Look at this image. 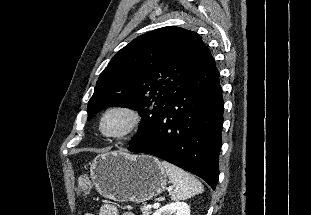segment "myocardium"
<instances>
[{"label": "myocardium", "instance_id": "1", "mask_svg": "<svg viewBox=\"0 0 311 215\" xmlns=\"http://www.w3.org/2000/svg\"><path fill=\"white\" fill-rule=\"evenodd\" d=\"M114 112L124 113L128 116L129 121L124 129L118 132H107L104 128L105 118ZM142 123L141 114L133 107L128 105H112L107 107L100 115L99 118V131L100 133L109 139H122L127 136H130L136 132Z\"/></svg>", "mask_w": 311, "mask_h": 215}]
</instances>
